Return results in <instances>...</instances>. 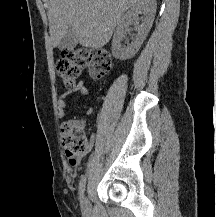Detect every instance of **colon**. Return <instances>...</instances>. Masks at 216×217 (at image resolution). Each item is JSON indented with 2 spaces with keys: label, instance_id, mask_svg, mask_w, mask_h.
Segmentation results:
<instances>
[{
  "label": "colon",
  "instance_id": "obj_1",
  "mask_svg": "<svg viewBox=\"0 0 216 217\" xmlns=\"http://www.w3.org/2000/svg\"><path fill=\"white\" fill-rule=\"evenodd\" d=\"M84 67H88L90 76L102 80L111 71L112 56L106 49L88 50L85 48L67 49L61 53L55 63V70L66 86L72 87L78 80ZM65 153L72 166L88 150V140L83 124L72 119L62 125Z\"/></svg>",
  "mask_w": 216,
  "mask_h": 217
}]
</instances>
